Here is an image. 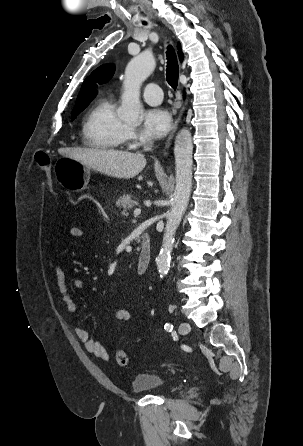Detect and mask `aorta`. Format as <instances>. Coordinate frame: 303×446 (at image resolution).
<instances>
[{
  "label": "aorta",
  "mask_w": 303,
  "mask_h": 446,
  "mask_svg": "<svg viewBox=\"0 0 303 446\" xmlns=\"http://www.w3.org/2000/svg\"><path fill=\"white\" fill-rule=\"evenodd\" d=\"M155 60L151 52L145 51L134 57L127 65L123 81L124 93L118 115L126 121H136L142 112L140 103V87L143 81L153 72ZM192 153L193 143L190 131L181 129L175 140L174 156L176 171V186L171 209L167 215V223L163 236L162 247L156 264L161 277L170 268V259L175 243V232L187 208L192 188Z\"/></svg>",
  "instance_id": "obj_1"
}]
</instances>
